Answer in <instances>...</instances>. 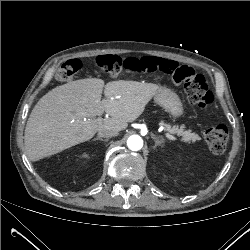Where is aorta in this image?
Listing matches in <instances>:
<instances>
[{"instance_id":"1","label":"aorta","mask_w":250,"mask_h":250,"mask_svg":"<svg viewBox=\"0 0 250 250\" xmlns=\"http://www.w3.org/2000/svg\"><path fill=\"white\" fill-rule=\"evenodd\" d=\"M127 146L132 151H138L143 147V140L139 135H132L127 140Z\"/></svg>"}]
</instances>
